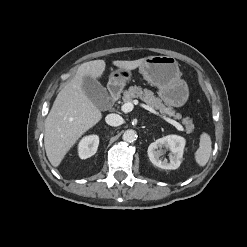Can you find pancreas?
Returning a JSON list of instances; mask_svg holds the SVG:
<instances>
[{"label": "pancreas", "mask_w": 247, "mask_h": 247, "mask_svg": "<svg viewBox=\"0 0 247 247\" xmlns=\"http://www.w3.org/2000/svg\"><path fill=\"white\" fill-rule=\"evenodd\" d=\"M123 101L125 103L132 102L134 98H139L147 105L159 110L160 113L166 114L170 117H174L175 119H180L181 115L175 113L171 106H167L162 102V100L154 95L151 90L142 89L140 86H130L127 91L123 94ZM182 123L186 125V131L191 133L194 129V125L192 124V120L189 118H184Z\"/></svg>", "instance_id": "cf45deb5"}]
</instances>
